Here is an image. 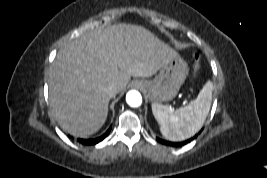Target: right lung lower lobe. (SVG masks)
<instances>
[{
    "instance_id": "1",
    "label": "right lung lower lobe",
    "mask_w": 267,
    "mask_h": 178,
    "mask_svg": "<svg viewBox=\"0 0 267 178\" xmlns=\"http://www.w3.org/2000/svg\"><path fill=\"white\" fill-rule=\"evenodd\" d=\"M111 127L106 131L105 134H103L102 136L95 138V139H79L78 141L82 144H87V145H92V144H96L100 141H102L110 132Z\"/></svg>"
}]
</instances>
